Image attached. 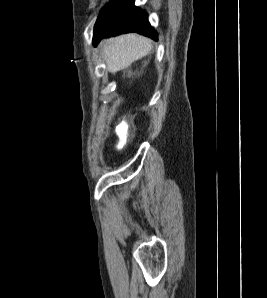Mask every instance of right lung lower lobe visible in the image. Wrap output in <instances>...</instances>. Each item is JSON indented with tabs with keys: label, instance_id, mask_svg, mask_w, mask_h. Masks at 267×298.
Instances as JSON below:
<instances>
[{
	"label": "right lung lower lobe",
	"instance_id": "1",
	"mask_svg": "<svg viewBox=\"0 0 267 298\" xmlns=\"http://www.w3.org/2000/svg\"><path fill=\"white\" fill-rule=\"evenodd\" d=\"M137 32L157 40V33L147 19V13L134 5V0H112L100 13L94 28L96 46L103 37Z\"/></svg>",
	"mask_w": 267,
	"mask_h": 298
}]
</instances>
